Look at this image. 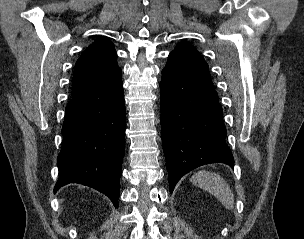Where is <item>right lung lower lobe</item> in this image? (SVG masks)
I'll list each match as a JSON object with an SVG mask.
<instances>
[{
    "instance_id": "1",
    "label": "right lung lower lobe",
    "mask_w": 304,
    "mask_h": 239,
    "mask_svg": "<svg viewBox=\"0 0 304 239\" xmlns=\"http://www.w3.org/2000/svg\"><path fill=\"white\" fill-rule=\"evenodd\" d=\"M125 125L121 71L73 97L65 111L63 143L57 158L59 179L54 191L79 183L107 195L118 207Z\"/></svg>"
}]
</instances>
